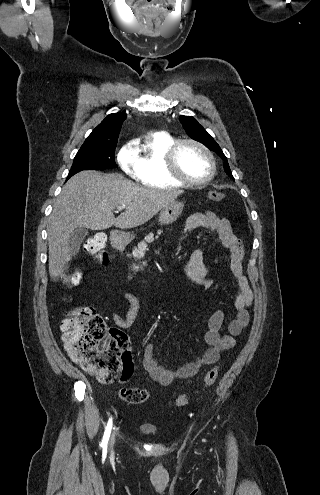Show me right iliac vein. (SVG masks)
Returning a JSON list of instances; mask_svg holds the SVG:
<instances>
[{
    "mask_svg": "<svg viewBox=\"0 0 320 495\" xmlns=\"http://www.w3.org/2000/svg\"><path fill=\"white\" fill-rule=\"evenodd\" d=\"M114 442H115V434L113 433L110 438L109 448H113Z\"/></svg>",
    "mask_w": 320,
    "mask_h": 495,
    "instance_id": "right-iliac-vein-1",
    "label": "right iliac vein"
}]
</instances>
